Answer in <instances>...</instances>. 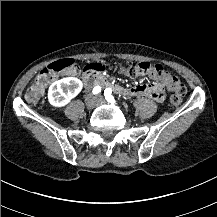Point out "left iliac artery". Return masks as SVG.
<instances>
[{
	"instance_id": "left-iliac-artery-1",
	"label": "left iliac artery",
	"mask_w": 217,
	"mask_h": 217,
	"mask_svg": "<svg viewBox=\"0 0 217 217\" xmlns=\"http://www.w3.org/2000/svg\"><path fill=\"white\" fill-rule=\"evenodd\" d=\"M111 93H112V90H109V91L105 90L104 91L105 98L109 102L114 101V97L112 96Z\"/></svg>"
}]
</instances>
